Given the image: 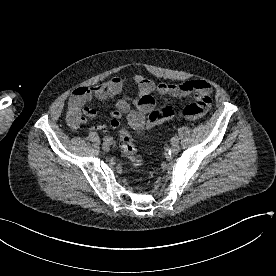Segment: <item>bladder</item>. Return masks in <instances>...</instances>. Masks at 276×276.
<instances>
[{
    "label": "bladder",
    "mask_w": 276,
    "mask_h": 276,
    "mask_svg": "<svg viewBox=\"0 0 276 276\" xmlns=\"http://www.w3.org/2000/svg\"><path fill=\"white\" fill-rule=\"evenodd\" d=\"M128 124L135 132H141L145 126V117L140 113H134L128 118Z\"/></svg>",
    "instance_id": "obj_1"
}]
</instances>
